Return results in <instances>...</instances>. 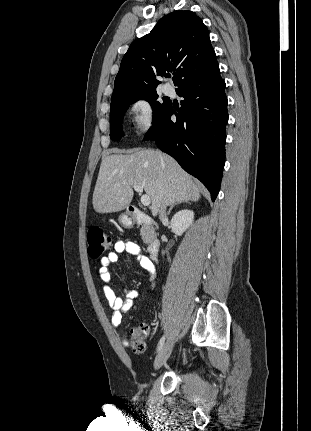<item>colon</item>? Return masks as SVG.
I'll return each mask as SVG.
<instances>
[{
    "label": "colon",
    "instance_id": "5ec220e1",
    "mask_svg": "<svg viewBox=\"0 0 311 431\" xmlns=\"http://www.w3.org/2000/svg\"><path fill=\"white\" fill-rule=\"evenodd\" d=\"M112 246L111 237L101 228H93L88 233V254L97 259ZM149 327L140 324L134 327L130 333L128 345L133 352L142 354L146 350Z\"/></svg>",
    "mask_w": 311,
    "mask_h": 431
}]
</instances>
